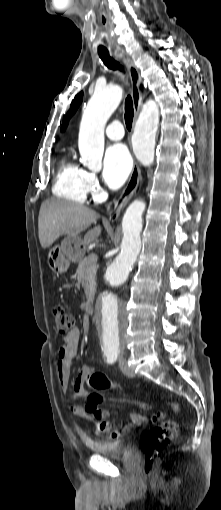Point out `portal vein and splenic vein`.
Segmentation results:
<instances>
[{
  "label": "portal vein and splenic vein",
  "instance_id": "portal-vein-and-splenic-vein-1",
  "mask_svg": "<svg viewBox=\"0 0 221 510\" xmlns=\"http://www.w3.org/2000/svg\"><path fill=\"white\" fill-rule=\"evenodd\" d=\"M91 258H92V260H97V255L93 254Z\"/></svg>",
  "mask_w": 221,
  "mask_h": 510
}]
</instances>
